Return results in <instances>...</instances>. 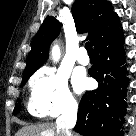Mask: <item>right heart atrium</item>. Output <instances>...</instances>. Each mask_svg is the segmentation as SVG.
I'll return each instance as SVG.
<instances>
[{"label": "right heart atrium", "mask_w": 136, "mask_h": 136, "mask_svg": "<svg viewBox=\"0 0 136 136\" xmlns=\"http://www.w3.org/2000/svg\"><path fill=\"white\" fill-rule=\"evenodd\" d=\"M30 112L38 117L58 116L77 109L68 86V76L56 69L43 68L30 81Z\"/></svg>", "instance_id": "right-heart-atrium-1"}]
</instances>
